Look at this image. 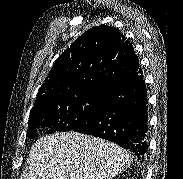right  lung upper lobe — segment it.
Masks as SVG:
<instances>
[{"label":"right lung upper lobe","mask_w":183,"mask_h":179,"mask_svg":"<svg viewBox=\"0 0 183 179\" xmlns=\"http://www.w3.org/2000/svg\"><path fill=\"white\" fill-rule=\"evenodd\" d=\"M140 68L133 45L117 29L93 27L55 61L34 106L63 97L101 94L117 79Z\"/></svg>","instance_id":"cb5924a9"}]
</instances>
